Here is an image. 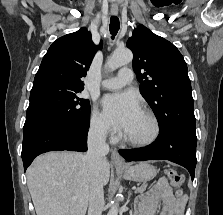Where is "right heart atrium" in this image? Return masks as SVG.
I'll use <instances>...</instances> for the list:
<instances>
[{
    "label": "right heart atrium",
    "mask_w": 223,
    "mask_h": 215,
    "mask_svg": "<svg viewBox=\"0 0 223 215\" xmlns=\"http://www.w3.org/2000/svg\"><path fill=\"white\" fill-rule=\"evenodd\" d=\"M90 130L93 135L100 139L107 138L110 135H116L105 117L96 109L91 114Z\"/></svg>",
    "instance_id": "right-heart-atrium-1"
}]
</instances>
